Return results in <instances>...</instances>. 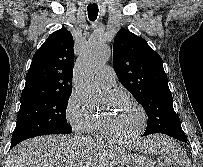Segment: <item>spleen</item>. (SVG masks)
Listing matches in <instances>:
<instances>
[{
	"label": "spleen",
	"mask_w": 203,
	"mask_h": 167,
	"mask_svg": "<svg viewBox=\"0 0 203 167\" xmlns=\"http://www.w3.org/2000/svg\"><path fill=\"white\" fill-rule=\"evenodd\" d=\"M149 144L150 152L167 155L176 160L178 164L184 165L185 167L191 166L185 152L173 140L168 139L167 137L158 136L150 140Z\"/></svg>",
	"instance_id": "spleen-1"
}]
</instances>
